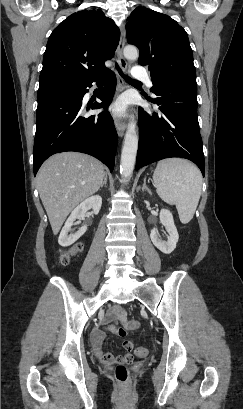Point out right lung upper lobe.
I'll return each mask as SVG.
<instances>
[{"label": "right lung upper lobe", "instance_id": "1", "mask_svg": "<svg viewBox=\"0 0 243 409\" xmlns=\"http://www.w3.org/2000/svg\"><path fill=\"white\" fill-rule=\"evenodd\" d=\"M119 38V29L102 10L71 14L49 37L40 79L61 77L81 84L100 75Z\"/></svg>", "mask_w": 243, "mask_h": 409}]
</instances>
